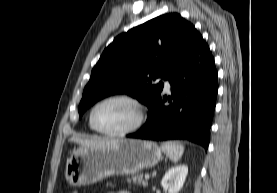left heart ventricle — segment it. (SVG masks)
<instances>
[{"label": "left heart ventricle", "instance_id": "left-heart-ventricle-1", "mask_svg": "<svg viewBox=\"0 0 277 193\" xmlns=\"http://www.w3.org/2000/svg\"><path fill=\"white\" fill-rule=\"evenodd\" d=\"M137 116L133 104L116 100L101 104L94 113V121L100 129L115 132L132 126Z\"/></svg>", "mask_w": 277, "mask_h": 193}]
</instances>
